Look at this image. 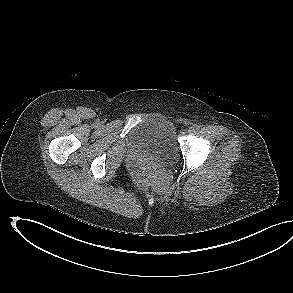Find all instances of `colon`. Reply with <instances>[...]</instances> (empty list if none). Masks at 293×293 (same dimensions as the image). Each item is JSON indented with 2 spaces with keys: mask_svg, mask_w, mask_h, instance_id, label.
Wrapping results in <instances>:
<instances>
[{
  "mask_svg": "<svg viewBox=\"0 0 293 293\" xmlns=\"http://www.w3.org/2000/svg\"><path fill=\"white\" fill-rule=\"evenodd\" d=\"M153 178V173L149 167L139 169L135 174V181L138 186L144 187L149 185Z\"/></svg>",
  "mask_w": 293,
  "mask_h": 293,
  "instance_id": "5ec220e1",
  "label": "colon"
}]
</instances>
